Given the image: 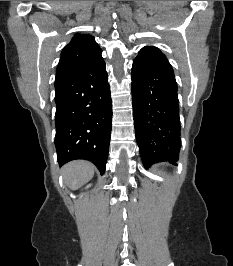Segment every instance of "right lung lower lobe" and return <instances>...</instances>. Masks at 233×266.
<instances>
[{"label": "right lung lower lobe", "instance_id": "1", "mask_svg": "<svg viewBox=\"0 0 233 266\" xmlns=\"http://www.w3.org/2000/svg\"><path fill=\"white\" fill-rule=\"evenodd\" d=\"M55 89V145L59 165L85 159L104 174L111 136L112 103L102 56L55 83Z\"/></svg>", "mask_w": 233, "mask_h": 266}]
</instances>
